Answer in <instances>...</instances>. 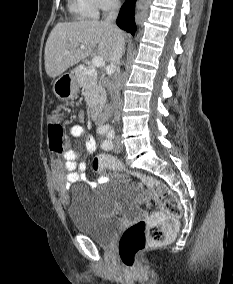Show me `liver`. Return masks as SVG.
<instances>
[{"mask_svg": "<svg viewBox=\"0 0 233 284\" xmlns=\"http://www.w3.org/2000/svg\"><path fill=\"white\" fill-rule=\"evenodd\" d=\"M124 33L105 21L85 20L58 23L45 46V70L55 78L88 57L96 48L98 56L111 61L118 37ZM85 49L81 50L80 46Z\"/></svg>", "mask_w": 233, "mask_h": 284, "instance_id": "6515ba94", "label": "liver"}]
</instances>
